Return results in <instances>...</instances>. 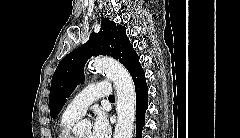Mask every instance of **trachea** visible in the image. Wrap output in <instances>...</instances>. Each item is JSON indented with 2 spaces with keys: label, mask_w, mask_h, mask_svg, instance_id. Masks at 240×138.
Here are the masks:
<instances>
[{
  "label": "trachea",
  "mask_w": 240,
  "mask_h": 138,
  "mask_svg": "<svg viewBox=\"0 0 240 138\" xmlns=\"http://www.w3.org/2000/svg\"><path fill=\"white\" fill-rule=\"evenodd\" d=\"M108 99H109V100H115V97H114V95H110V96L108 97Z\"/></svg>",
  "instance_id": "3493384b"
}]
</instances>
